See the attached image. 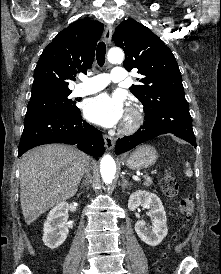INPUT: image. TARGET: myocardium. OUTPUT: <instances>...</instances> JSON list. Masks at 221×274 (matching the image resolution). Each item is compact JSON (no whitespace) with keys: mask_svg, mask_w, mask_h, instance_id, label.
<instances>
[{"mask_svg":"<svg viewBox=\"0 0 221 274\" xmlns=\"http://www.w3.org/2000/svg\"><path fill=\"white\" fill-rule=\"evenodd\" d=\"M144 115L140 108L131 106L123 123V130L126 133L136 131L143 123Z\"/></svg>","mask_w":221,"mask_h":274,"instance_id":"1","label":"myocardium"}]
</instances>
